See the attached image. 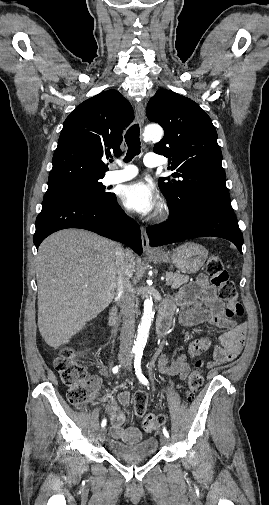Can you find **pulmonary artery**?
Masks as SVG:
<instances>
[{
  "label": "pulmonary artery",
  "instance_id": "obj_1",
  "mask_svg": "<svg viewBox=\"0 0 269 505\" xmlns=\"http://www.w3.org/2000/svg\"><path fill=\"white\" fill-rule=\"evenodd\" d=\"M116 164L120 167V169L113 170L107 174L106 182L108 184L124 182L137 175V169L133 165L124 164L121 161H116ZM144 164L147 167H156L161 165L162 161L158 155L149 153L144 158Z\"/></svg>",
  "mask_w": 269,
  "mask_h": 505
}]
</instances>
